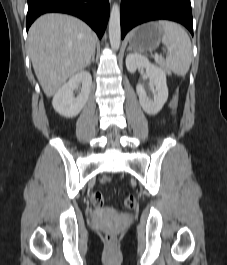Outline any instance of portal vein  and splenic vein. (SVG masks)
Segmentation results:
<instances>
[{"instance_id": "18ae733b", "label": "portal vein and splenic vein", "mask_w": 227, "mask_h": 265, "mask_svg": "<svg viewBox=\"0 0 227 265\" xmlns=\"http://www.w3.org/2000/svg\"><path fill=\"white\" fill-rule=\"evenodd\" d=\"M155 61H159V57L158 56L155 57Z\"/></svg>"}]
</instances>
